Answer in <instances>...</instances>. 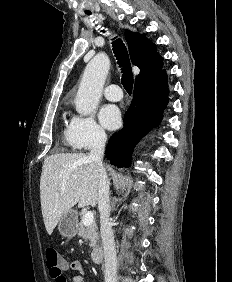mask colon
I'll return each mask as SVG.
<instances>
[{
  "instance_id": "5ec220e1",
  "label": "colon",
  "mask_w": 232,
  "mask_h": 282,
  "mask_svg": "<svg viewBox=\"0 0 232 282\" xmlns=\"http://www.w3.org/2000/svg\"><path fill=\"white\" fill-rule=\"evenodd\" d=\"M46 265L52 277H60L63 272L64 260L58 251L54 248H47L45 250Z\"/></svg>"
}]
</instances>
